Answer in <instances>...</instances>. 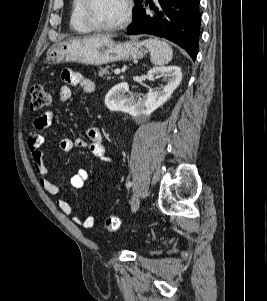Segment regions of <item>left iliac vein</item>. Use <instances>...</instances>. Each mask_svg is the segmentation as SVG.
Here are the masks:
<instances>
[{"mask_svg":"<svg viewBox=\"0 0 267 301\" xmlns=\"http://www.w3.org/2000/svg\"><path fill=\"white\" fill-rule=\"evenodd\" d=\"M139 205H140V195L137 192H135L131 200L132 211L135 212L138 209Z\"/></svg>","mask_w":267,"mask_h":301,"instance_id":"obj_1","label":"left iliac vein"}]
</instances>
